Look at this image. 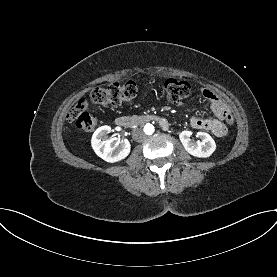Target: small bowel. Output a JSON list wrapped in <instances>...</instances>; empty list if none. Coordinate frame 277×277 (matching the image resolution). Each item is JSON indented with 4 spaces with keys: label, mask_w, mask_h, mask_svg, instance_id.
Segmentation results:
<instances>
[{
    "label": "small bowel",
    "mask_w": 277,
    "mask_h": 277,
    "mask_svg": "<svg viewBox=\"0 0 277 277\" xmlns=\"http://www.w3.org/2000/svg\"><path fill=\"white\" fill-rule=\"evenodd\" d=\"M202 94L209 102L215 118L193 116L190 120L191 125L196 129L210 131L217 137L226 135L227 126L224 124V119L226 118V114L230 113L228 105L210 89H203ZM180 106H183V104H180Z\"/></svg>",
    "instance_id": "c3829d8e"
}]
</instances>
